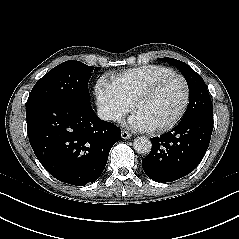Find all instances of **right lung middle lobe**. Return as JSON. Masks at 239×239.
Segmentation results:
<instances>
[{
	"label": "right lung middle lobe",
	"mask_w": 239,
	"mask_h": 239,
	"mask_svg": "<svg viewBox=\"0 0 239 239\" xmlns=\"http://www.w3.org/2000/svg\"><path fill=\"white\" fill-rule=\"evenodd\" d=\"M95 67V70H99ZM94 67L79 61H66L46 73L32 88L29 107L48 101H90L88 82Z\"/></svg>",
	"instance_id": "1"
}]
</instances>
